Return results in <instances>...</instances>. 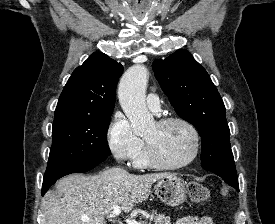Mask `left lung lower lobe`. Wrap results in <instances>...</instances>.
Listing matches in <instances>:
<instances>
[{"label":"left lung lower lobe","instance_id":"left-lung-lower-lobe-1","mask_svg":"<svg viewBox=\"0 0 275 224\" xmlns=\"http://www.w3.org/2000/svg\"><path fill=\"white\" fill-rule=\"evenodd\" d=\"M228 184L239 190V185L237 180H233L232 178H228L226 181Z\"/></svg>","mask_w":275,"mask_h":224}]
</instances>
